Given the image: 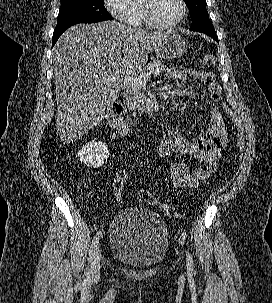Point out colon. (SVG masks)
Wrapping results in <instances>:
<instances>
[{
	"label": "colon",
	"mask_w": 272,
	"mask_h": 303,
	"mask_svg": "<svg viewBox=\"0 0 272 303\" xmlns=\"http://www.w3.org/2000/svg\"><path fill=\"white\" fill-rule=\"evenodd\" d=\"M215 56L212 54H206L203 56L201 62L205 66H212L215 64ZM223 108L226 114L231 118L234 122L237 129V140H236V150L239 156H242L245 144V131L244 125L240 118V116L232 110L226 103H223ZM128 176L127 169H120L113 182V191L115 198L120 201L123 197L124 193V185ZM139 198L141 201L149 204L158 206L168 217L170 218H179L181 216L180 212L171 205L164 204L160 202L150 191L148 190H140Z\"/></svg>",
	"instance_id": "1"
}]
</instances>
